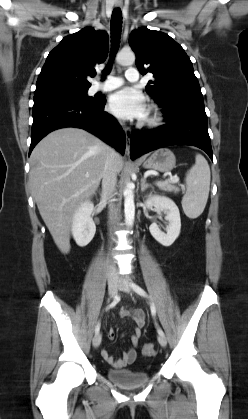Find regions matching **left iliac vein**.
<instances>
[{
    "label": "left iliac vein",
    "instance_id": "1",
    "mask_svg": "<svg viewBox=\"0 0 248 419\" xmlns=\"http://www.w3.org/2000/svg\"><path fill=\"white\" fill-rule=\"evenodd\" d=\"M119 289L126 292V293H131L132 292V288H131L129 282H127L124 279L119 280ZM158 342L162 347H165L167 345V339H166L165 335H159L158 336Z\"/></svg>",
    "mask_w": 248,
    "mask_h": 419
}]
</instances>
